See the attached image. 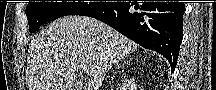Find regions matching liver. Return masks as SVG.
Listing matches in <instances>:
<instances>
[{
    "instance_id": "liver-1",
    "label": "liver",
    "mask_w": 216,
    "mask_h": 90,
    "mask_svg": "<svg viewBox=\"0 0 216 90\" xmlns=\"http://www.w3.org/2000/svg\"><path fill=\"white\" fill-rule=\"evenodd\" d=\"M137 48L138 44L95 18L64 16L31 40L26 88L74 90L78 72L86 66L90 78L82 90H99L108 70Z\"/></svg>"
}]
</instances>
